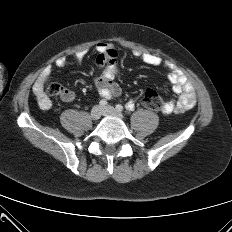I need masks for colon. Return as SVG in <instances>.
<instances>
[{
    "mask_svg": "<svg viewBox=\"0 0 232 232\" xmlns=\"http://www.w3.org/2000/svg\"><path fill=\"white\" fill-rule=\"evenodd\" d=\"M47 92L51 95H63L65 93V89L57 84L51 83L47 87ZM143 105L152 111H162L164 108V101L161 95L153 89H147L142 98Z\"/></svg>",
    "mask_w": 232,
    "mask_h": 232,
    "instance_id": "obj_1",
    "label": "colon"
}]
</instances>
